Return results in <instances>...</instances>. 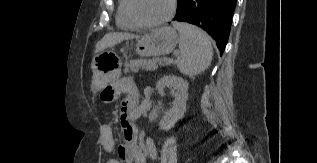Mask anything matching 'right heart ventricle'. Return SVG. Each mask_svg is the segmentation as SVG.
Returning a JSON list of instances; mask_svg holds the SVG:
<instances>
[{
    "mask_svg": "<svg viewBox=\"0 0 317 163\" xmlns=\"http://www.w3.org/2000/svg\"><path fill=\"white\" fill-rule=\"evenodd\" d=\"M116 23L123 30H135L140 27L128 12V0H118Z\"/></svg>",
    "mask_w": 317,
    "mask_h": 163,
    "instance_id": "e07e8e85",
    "label": "right heart ventricle"
}]
</instances>
